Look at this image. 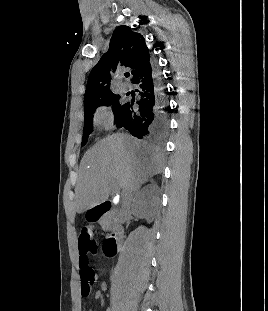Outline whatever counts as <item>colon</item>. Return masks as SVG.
Wrapping results in <instances>:
<instances>
[{"label": "colon", "mask_w": 268, "mask_h": 311, "mask_svg": "<svg viewBox=\"0 0 268 311\" xmlns=\"http://www.w3.org/2000/svg\"><path fill=\"white\" fill-rule=\"evenodd\" d=\"M79 248V267L82 281V293L84 296L89 294L91 286L96 281V272L90 267L91 257L97 254V244L92 238V228L84 226L80 232L78 240Z\"/></svg>", "instance_id": "colon-1"}]
</instances>
